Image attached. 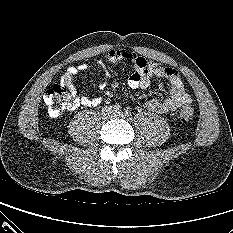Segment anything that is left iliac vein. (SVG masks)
<instances>
[{
  "instance_id": "4c4485c4",
  "label": "left iliac vein",
  "mask_w": 233,
  "mask_h": 233,
  "mask_svg": "<svg viewBox=\"0 0 233 233\" xmlns=\"http://www.w3.org/2000/svg\"><path fill=\"white\" fill-rule=\"evenodd\" d=\"M122 115H123L122 112L116 113V116H117V117H121Z\"/></svg>"
}]
</instances>
